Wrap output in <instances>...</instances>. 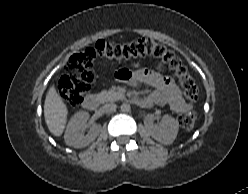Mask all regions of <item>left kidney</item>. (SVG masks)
Returning a JSON list of instances; mask_svg holds the SVG:
<instances>
[{
    "mask_svg": "<svg viewBox=\"0 0 248 194\" xmlns=\"http://www.w3.org/2000/svg\"><path fill=\"white\" fill-rule=\"evenodd\" d=\"M178 121L169 115H164L162 124L159 126H152L149 129L150 135L158 142L169 145L172 144L178 134Z\"/></svg>",
    "mask_w": 248,
    "mask_h": 194,
    "instance_id": "left-kidney-1",
    "label": "left kidney"
}]
</instances>
